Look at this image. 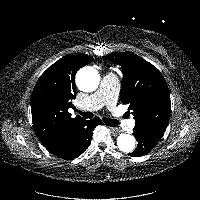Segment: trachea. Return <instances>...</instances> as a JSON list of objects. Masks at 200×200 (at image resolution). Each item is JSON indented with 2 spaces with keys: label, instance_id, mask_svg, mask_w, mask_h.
<instances>
[{
  "label": "trachea",
  "instance_id": "obj_1",
  "mask_svg": "<svg viewBox=\"0 0 200 200\" xmlns=\"http://www.w3.org/2000/svg\"><path fill=\"white\" fill-rule=\"evenodd\" d=\"M77 112H79V114H81L83 118H86V119H91L94 116L93 113L91 112H81V111H77ZM103 121L106 125L110 127H116L119 124L117 120L110 119V118H103Z\"/></svg>",
  "mask_w": 200,
  "mask_h": 200
}]
</instances>
